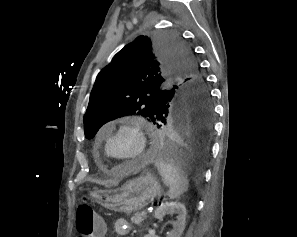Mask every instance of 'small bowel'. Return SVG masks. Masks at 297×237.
<instances>
[{
  "instance_id": "small-bowel-1",
  "label": "small bowel",
  "mask_w": 297,
  "mask_h": 237,
  "mask_svg": "<svg viewBox=\"0 0 297 237\" xmlns=\"http://www.w3.org/2000/svg\"><path fill=\"white\" fill-rule=\"evenodd\" d=\"M114 229L118 235L127 237L130 231V226L126 220L119 219L115 222ZM104 233H105V229L104 228L102 229L100 226L98 237H102Z\"/></svg>"
}]
</instances>
